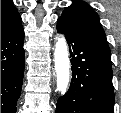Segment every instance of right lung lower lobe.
<instances>
[{"mask_svg": "<svg viewBox=\"0 0 121 113\" xmlns=\"http://www.w3.org/2000/svg\"><path fill=\"white\" fill-rule=\"evenodd\" d=\"M22 25L1 36V113H15L21 93L25 53Z\"/></svg>", "mask_w": 121, "mask_h": 113, "instance_id": "98d812e1", "label": "right lung lower lobe"}]
</instances>
